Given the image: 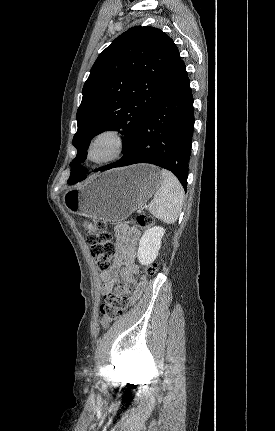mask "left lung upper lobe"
Instances as JSON below:
<instances>
[{
    "label": "left lung upper lobe",
    "mask_w": 275,
    "mask_h": 431,
    "mask_svg": "<svg viewBox=\"0 0 275 431\" xmlns=\"http://www.w3.org/2000/svg\"><path fill=\"white\" fill-rule=\"evenodd\" d=\"M180 59L173 40L149 26L130 28L101 52L77 110L78 130L73 138L77 156L70 163V178L85 175L87 170L80 163L86 159L91 139L105 130L123 134V151L127 152Z\"/></svg>",
    "instance_id": "1"
}]
</instances>
